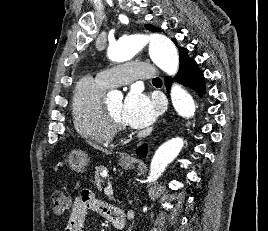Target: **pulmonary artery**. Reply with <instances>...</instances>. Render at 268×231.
Returning a JSON list of instances; mask_svg holds the SVG:
<instances>
[{
  "label": "pulmonary artery",
  "instance_id": "1",
  "mask_svg": "<svg viewBox=\"0 0 268 231\" xmlns=\"http://www.w3.org/2000/svg\"><path fill=\"white\" fill-rule=\"evenodd\" d=\"M154 68L144 62H132L125 66L112 67L97 74V79L105 86L128 84L134 79L153 80Z\"/></svg>",
  "mask_w": 268,
  "mask_h": 231
}]
</instances>
